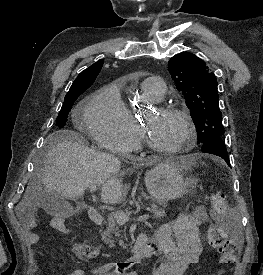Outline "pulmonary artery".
I'll return each instance as SVG.
<instances>
[{"instance_id": "1", "label": "pulmonary artery", "mask_w": 263, "mask_h": 275, "mask_svg": "<svg viewBox=\"0 0 263 275\" xmlns=\"http://www.w3.org/2000/svg\"><path fill=\"white\" fill-rule=\"evenodd\" d=\"M142 87L154 101L161 100L165 94L164 81L158 76L146 78L142 84Z\"/></svg>"}]
</instances>
